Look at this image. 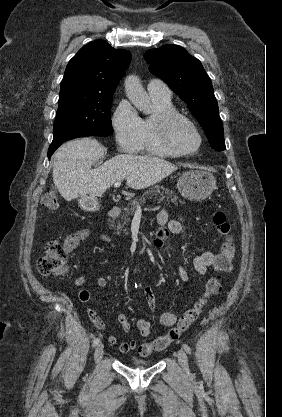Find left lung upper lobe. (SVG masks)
<instances>
[{"label": "left lung upper lobe", "instance_id": "obj_1", "mask_svg": "<svg viewBox=\"0 0 282 417\" xmlns=\"http://www.w3.org/2000/svg\"><path fill=\"white\" fill-rule=\"evenodd\" d=\"M149 71L165 81L183 99L202 126L212 148L225 150L224 129L211 79L201 62L183 47L164 45L148 50Z\"/></svg>", "mask_w": 282, "mask_h": 417}]
</instances>
